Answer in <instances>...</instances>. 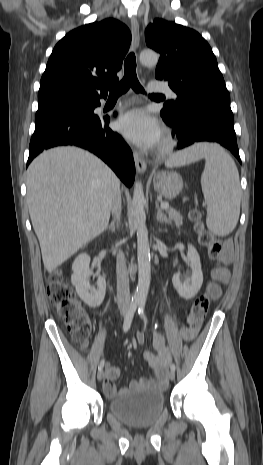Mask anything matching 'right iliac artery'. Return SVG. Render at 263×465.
Listing matches in <instances>:
<instances>
[{
	"label": "right iliac artery",
	"instance_id": "obj_1",
	"mask_svg": "<svg viewBox=\"0 0 263 465\" xmlns=\"http://www.w3.org/2000/svg\"><path fill=\"white\" fill-rule=\"evenodd\" d=\"M138 305H139L138 302H132L130 304V307H129L128 311H127V314L125 316L124 323H123L124 332H127L129 330ZM104 363H105L104 360L100 361V363L98 365L99 370L104 367Z\"/></svg>",
	"mask_w": 263,
	"mask_h": 465
}]
</instances>
